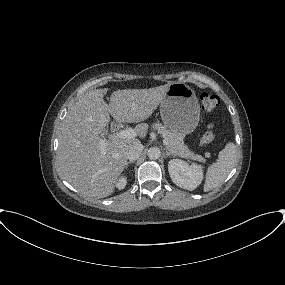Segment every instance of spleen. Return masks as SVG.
<instances>
[{
	"label": "spleen",
	"instance_id": "spleen-1",
	"mask_svg": "<svg viewBox=\"0 0 285 285\" xmlns=\"http://www.w3.org/2000/svg\"><path fill=\"white\" fill-rule=\"evenodd\" d=\"M237 159V150L233 142L226 144L219 152L218 160L212 163L206 173L204 191L208 192L218 187L229 175Z\"/></svg>",
	"mask_w": 285,
	"mask_h": 285
}]
</instances>
